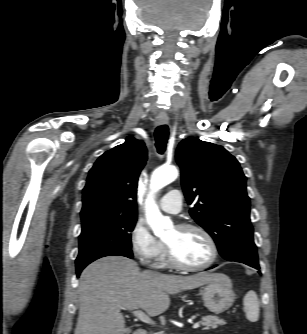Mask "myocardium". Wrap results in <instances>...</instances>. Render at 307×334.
I'll return each mask as SVG.
<instances>
[{"label": "myocardium", "mask_w": 307, "mask_h": 334, "mask_svg": "<svg viewBox=\"0 0 307 334\" xmlns=\"http://www.w3.org/2000/svg\"><path fill=\"white\" fill-rule=\"evenodd\" d=\"M176 228L180 230H195L201 233L209 244L211 254L210 258L203 264L187 265L177 259L170 246L165 242L168 263L177 269L190 272L207 269L215 263L218 257V247L212 235L204 227L194 223H182L179 224Z\"/></svg>", "instance_id": "myocardium-1"}]
</instances>
